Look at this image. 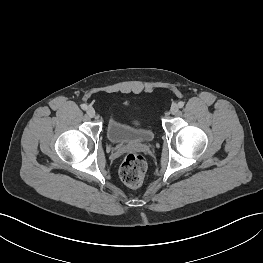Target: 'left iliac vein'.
<instances>
[{"instance_id":"1","label":"left iliac vein","mask_w":263,"mask_h":263,"mask_svg":"<svg viewBox=\"0 0 263 263\" xmlns=\"http://www.w3.org/2000/svg\"><path fill=\"white\" fill-rule=\"evenodd\" d=\"M178 110H179V107H178L177 104H173V105L171 106L170 111H171L172 114H176V113L178 112Z\"/></svg>"}]
</instances>
